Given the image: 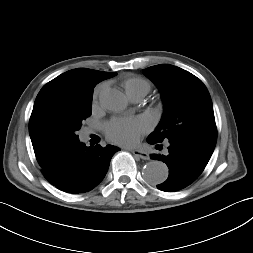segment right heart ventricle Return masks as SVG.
Returning a JSON list of instances; mask_svg holds the SVG:
<instances>
[{
	"mask_svg": "<svg viewBox=\"0 0 253 253\" xmlns=\"http://www.w3.org/2000/svg\"><path fill=\"white\" fill-rule=\"evenodd\" d=\"M123 87L127 95H131L136 92H144L147 94L151 88L149 81L144 78L131 76L127 77L123 82Z\"/></svg>",
	"mask_w": 253,
	"mask_h": 253,
	"instance_id": "right-heart-ventricle-1",
	"label": "right heart ventricle"
}]
</instances>
